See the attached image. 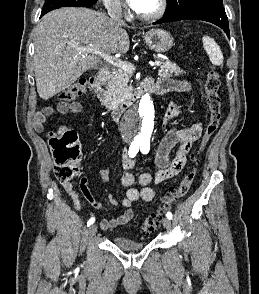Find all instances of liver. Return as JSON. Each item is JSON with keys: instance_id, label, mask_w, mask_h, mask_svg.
<instances>
[{"instance_id": "6515ba94", "label": "liver", "mask_w": 259, "mask_h": 294, "mask_svg": "<svg viewBox=\"0 0 259 294\" xmlns=\"http://www.w3.org/2000/svg\"><path fill=\"white\" fill-rule=\"evenodd\" d=\"M34 37L35 80L44 100L70 87L101 62L100 56L79 48L92 45L112 54L127 53L130 47L125 29L104 13L79 7L49 12L35 28Z\"/></svg>"}]
</instances>
